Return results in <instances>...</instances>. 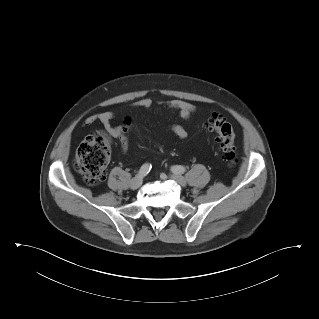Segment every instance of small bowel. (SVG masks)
Here are the masks:
<instances>
[{"mask_svg": "<svg viewBox=\"0 0 319 319\" xmlns=\"http://www.w3.org/2000/svg\"><path fill=\"white\" fill-rule=\"evenodd\" d=\"M166 108L177 112L184 119H190L196 111V108L193 104L178 100L172 99L164 102H160ZM154 102L150 98H141L137 100L133 106L138 109L149 110L153 107ZM114 117V113L112 111H104L98 113L96 115H92L86 119L87 124H92L96 121H99L104 128V133L115 138H120L121 145L123 149L127 147V141L123 140V131L118 127L114 126L112 123ZM138 129L149 133V130L144 126H138ZM171 131L177 136L179 139H186L189 136V132L186 127L179 123H174L170 126Z\"/></svg>", "mask_w": 319, "mask_h": 319, "instance_id": "small-bowel-1", "label": "small bowel"}]
</instances>
